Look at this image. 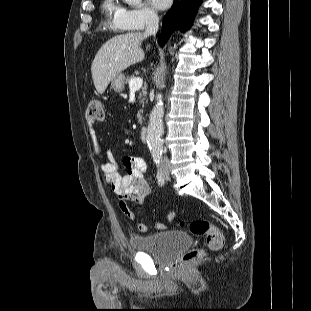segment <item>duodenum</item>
Returning <instances> with one entry per match:
<instances>
[{"mask_svg": "<svg viewBox=\"0 0 311 311\" xmlns=\"http://www.w3.org/2000/svg\"><path fill=\"white\" fill-rule=\"evenodd\" d=\"M139 134H140L141 140L143 142H146L147 138H148V128L146 126L141 127L140 131H139Z\"/></svg>", "mask_w": 311, "mask_h": 311, "instance_id": "duodenum-1", "label": "duodenum"}]
</instances>
